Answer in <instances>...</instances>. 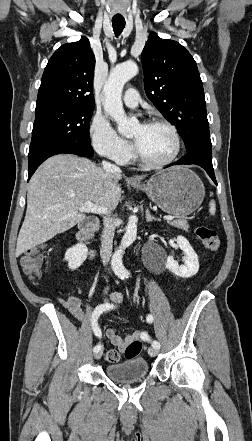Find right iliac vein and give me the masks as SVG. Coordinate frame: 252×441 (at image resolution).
I'll list each match as a JSON object with an SVG mask.
<instances>
[{
    "mask_svg": "<svg viewBox=\"0 0 252 441\" xmlns=\"http://www.w3.org/2000/svg\"><path fill=\"white\" fill-rule=\"evenodd\" d=\"M102 353H103L102 350H99V351L95 352V354H94V358H95V359H100L101 356H102Z\"/></svg>",
    "mask_w": 252,
    "mask_h": 441,
    "instance_id": "1",
    "label": "right iliac vein"
}]
</instances>
